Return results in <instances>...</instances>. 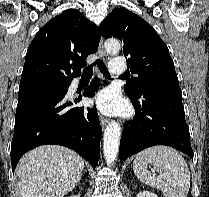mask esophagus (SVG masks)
<instances>
[{
	"mask_svg": "<svg viewBox=\"0 0 209 197\" xmlns=\"http://www.w3.org/2000/svg\"><path fill=\"white\" fill-rule=\"evenodd\" d=\"M98 52L104 61L108 60V55L106 54L105 49H104L103 38H101L100 40ZM100 123H101L102 128H104L106 124L108 123V119L103 116H100Z\"/></svg>",
	"mask_w": 209,
	"mask_h": 197,
	"instance_id": "esophagus-1",
	"label": "esophagus"
}]
</instances>
